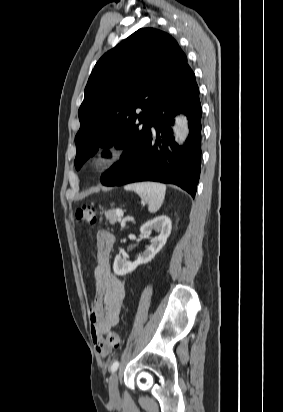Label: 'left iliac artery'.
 I'll return each instance as SVG.
<instances>
[{
    "mask_svg": "<svg viewBox=\"0 0 283 412\" xmlns=\"http://www.w3.org/2000/svg\"><path fill=\"white\" fill-rule=\"evenodd\" d=\"M119 367V362L115 361L112 365H111V372L114 373Z\"/></svg>",
    "mask_w": 283,
    "mask_h": 412,
    "instance_id": "44dca946",
    "label": "left iliac artery"
}]
</instances>
